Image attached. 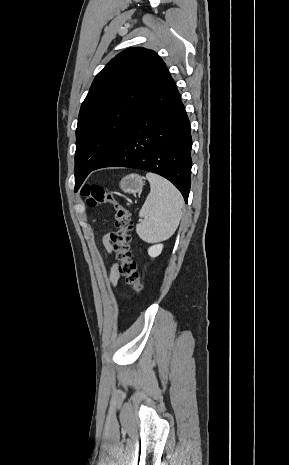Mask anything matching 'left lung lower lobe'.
<instances>
[{"label":"left lung lower lobe","mask_w":289,"mask_h":465,"mask_svg":"<svg viewBox=\"0 0 289 465\" xmlns=\"http://www.w3.org/2000/svg\"><path fill=\"white\" fill-rule=\"evenodd\" d=\"M111 166L157 173L171 181L187 203L191 185L190 123L172 78L150 96L92 171Z\"/></svg>","instance_id":"left-lung-lower-lobe-1"}]
</instances>
